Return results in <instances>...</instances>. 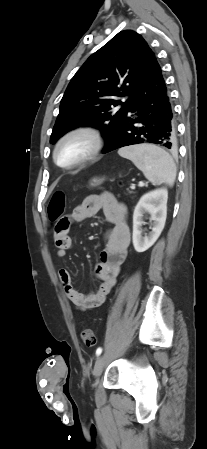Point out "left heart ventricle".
I'll return each instance as SVG.
<instances>
[{
  "label": "left heart ventricle",
  "instance_id": "obj_1",
  "mask_svg": "<svg viewBox=\"0 0 207 449\" xmlns=\"http://www.w3.org/2000/svg\"><path fill=\"white\" fill-rule=\"evenodd\" d=\"M90 148L86 137L78 136L66 141L58 150L57 158L61 164H69L84 156Z\"/></svg>",
  "mask_w": 207,
  "mask_h": 449
}]
</instances>
